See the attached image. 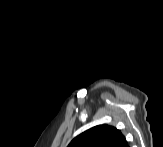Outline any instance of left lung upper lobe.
<instances>
[{"label": "left lung upper lobe", "mask_w": 163, "mask_h": 147, "mask_svg": "<svg viewBox=\"0 0 163 147\" xmlns=\"http://www.w3.org/2000/svg\"><path fill=\"white\" fill-rule=\"evenodd\" d=\"M122 137L115 127L98 125L75 137L68 147H117Z\"/></svg>", "instance_id": "1"}]
</instances>
